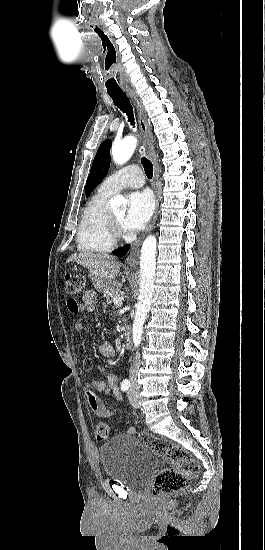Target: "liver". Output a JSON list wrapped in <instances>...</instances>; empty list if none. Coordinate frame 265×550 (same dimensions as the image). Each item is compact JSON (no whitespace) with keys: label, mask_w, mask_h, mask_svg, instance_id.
I'll list each match as a JSON object with an SVG mask.
<instances>
[{"label":"liver","mask_w":265,"mask_h":550,"mask_svg":"<svg viewBox=\"0 0 265 550\" xmlns=\"http://www.w3.org/2000/svg\"><path fill=\"white\" fill-rule=\"evenodd\" d=\"M67 262H77L88 268L100 282L108 284L115 279L121 267L119 261L105 254H74L68 258ZM122 282H125L124 276L122 277Z\"/></svg>","instance_id":"liver-1"}]
</instances>
